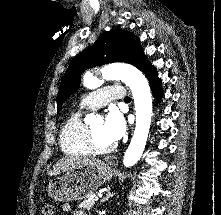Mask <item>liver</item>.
<instances>
[{
    "label": "liver",
    "mask_w": 221,
    "mask_h": 215,
    "mask_svg": "<svg viewBox=\"0 0 221 215\" xmlns=\"http://www.w3.org/2000/svg\"><path fill=\"white\" fill-rule=\"evenodd\" d=\"M93 158H79V157H65L59 160L54 166L53 170L49 172L50 176L61 174L62 172L70 171L76 168H81L88 163L93 162Z\"/></svg>",
    "instance_id": "obj_1"
}]
</instances>
